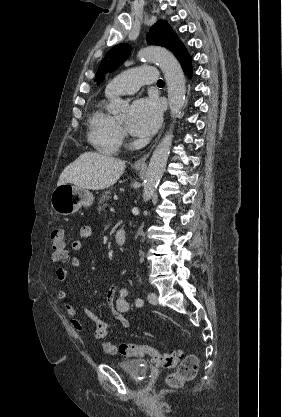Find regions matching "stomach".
Instances as JSON below:
<instances>
[{"mask_svg":"<svg viewBox=\"0 0 282 417\" xmlns=\"http://www.w3.org/2000/svg\"><path fill=\"white\" fill-rule=\"evenodd\" d=\"M94 196L87 188H80L76 184H58L54 188L50 202L57 215H74L81 206H91Z\"/></svg>","mask_w":282,"mask_h":417,"instance_id":"1","label":"stomach"}]
</instances>
